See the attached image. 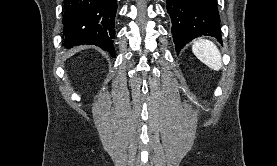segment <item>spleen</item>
<instances>
[{
  "label": "spleen",
  "instance_id": "spleen-1",
  "mask_svg": "<svg viewBox=\"0 0 277 166\" xmlns=\"http://www.w3.org/2000/svg\"><path fill=\"white\" fill-rule=\"evenodd\" d=\"M192 52L209 68L216 71L221 69V54L213 42L200 38L194 42L192 46Z\"/></svg>",
  "mask_w": 277,
  "mask_h": 166
}]
</instances>
